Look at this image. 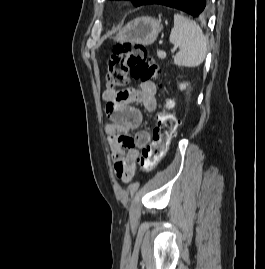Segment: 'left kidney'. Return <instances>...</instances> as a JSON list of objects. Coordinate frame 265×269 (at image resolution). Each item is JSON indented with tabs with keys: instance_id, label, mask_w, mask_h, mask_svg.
<instances>
[{
	"instance_id": "obj_1",
	"label": "left kidney",
	"mask_w": 265,
	"mask_h": 269,
	"mask_svg": "<svg viewBox=\"0 0 265 269\" xmlns=\"http://www.w3.org/2000/svg\"><path fill=\"white\" fill-rule=\"evenodd\" d=\"M186 86H188L187 83H181V84L179 85V88H180V90H185V89H186Z\"/></svg>"
}]
</instances>
